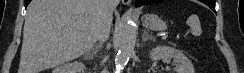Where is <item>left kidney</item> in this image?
<instances>
[{"mask_svg":"<svg viewBox=\"0 0 244 73\" xmlns=\"http://www.w3.org/2000/svg\"><path fill=\"white\" fill-rule=\"evenodd\" d=\"M152 61L167 60L173 58L175 63L174 73H195L192 62L182 51L169 46H157L150 53Z\"/></svg>","mask_w":244,"mask_h":73,"instance_id":"obj_1","label":"left kidney"}]
</instances>
